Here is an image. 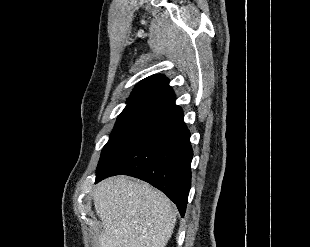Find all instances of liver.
Segmentation results:
<instances>
[{"label": "liver", "mask_w": 310, "mask_h": 247, "mask_svg": "<svg viewBox=\"0 0 310 247\" xmlns=\"http://www.w3.org/2000/svg\"><path fill=\"white\" fill-rule=\"evenodd\" d=\"M103 223L99 247H165L176 223L171 201L147 183L117 176L93 192Z\"/></svg>", "instance_id": "1"}]
</instances>
